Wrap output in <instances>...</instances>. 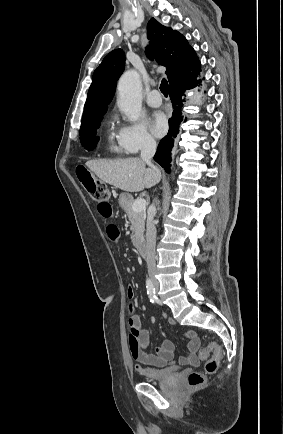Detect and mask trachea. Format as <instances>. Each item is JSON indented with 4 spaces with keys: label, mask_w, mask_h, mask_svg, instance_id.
<instances>
[{
    "label": "trachea",
    "mask_w": 283,
    "mask_h": 434,
    "mask_svg": "<svg viewBox=\"0 0 283 434\" xmlns=\"http://www.w3.org/2000/svg\"><path fill=\"white\" fill-rule=\"evenodd\" d=\"M160 90H161V92L163 93V95L165 96V97H167L168 96V91H169V89H168V82H167V80L166 79H162V81H161V84H160Z\"/></svg>",
    "instance_id": "trachea-1"
}]
</instances>
